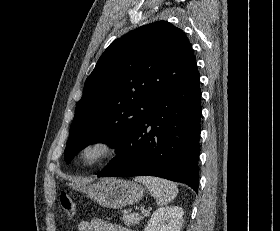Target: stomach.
Instances as JSON below:
<instances>
[{
  "label": "stomach",
  "mask_w": 280,
  "mask_h": 231,
  "mask_svg": "<svg viewBox=\"0 0 280 231\" xmlns=\"http://www.w3.org/2000/svg\"><path fill=\"white\" fill-rule=\"evenodd\" d=\"M67 185L76 191L87 193L96 203L104 207H112V209L138 203L144 195V187L140 183L126 181V179H101L93 183V179L78 177Z\"/></svg>",
  "instance_id": "0dacf381"
}]
</instances>
